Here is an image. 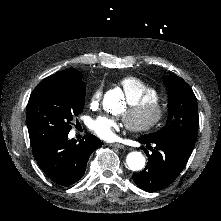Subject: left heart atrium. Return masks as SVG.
<instances>
[{"instance_id": "obj_1", "label": "left heart atrium", "mask_w": 221, "mask_h": 221, "mask_svg": "<svg viewBox=\"0 0 221 221\" xmlns=\"http://www.w3.org/2000/svg\"><path fill=\"white\" fill-rule=\"evenodd\" d=\"M118 124L112 119L99 117L90 124L91 131L99 138L106 141H116L118 139Z\"/></svg>"}]
</instances>
